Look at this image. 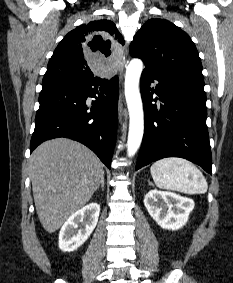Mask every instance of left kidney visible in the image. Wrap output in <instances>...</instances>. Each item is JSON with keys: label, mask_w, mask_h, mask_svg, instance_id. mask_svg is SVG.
<instances>
[{"label": "left kidney", "mask_w": 233, "mask_h": 283, "mask_svg": "<svg viewBox=\"0 0 233 283\" xmlns=\"http://www.w3.org/2000/svg\"><path fill=\"white\" fill-rule=\"evenodd\" d=\"M144 205L160 227L178 230L187 223L195 204L192 199L171 192L151 190L144 198Z\"/></svg>", "instance_id": "obj_1"}]
</instances>
